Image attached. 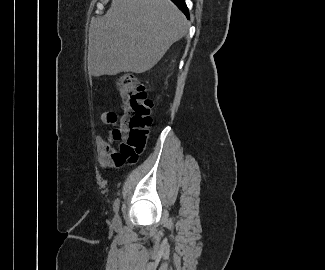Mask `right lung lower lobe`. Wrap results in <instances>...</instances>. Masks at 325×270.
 Listing matches in <instances>:
<instances>
[{"mask_svg":"<svg viewBox=\"0 0 325 270\" xmlns=\"http://www.w3.org/2000/svg\"><path fill=\"white\" fill-rule=\"evenodd\" d=\"M175 5L182 10V12L189 17L188 9L186 7L185 1L184 0H171Z\"/></svg>","mask_w":325,"mask_h":270,"instance_id":"98d812e1","label":"right lung lower lobe"}]
</instances>
